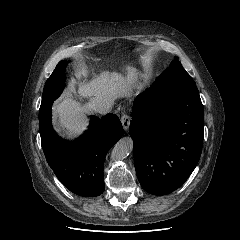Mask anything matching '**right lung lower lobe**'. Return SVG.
<instances>
[{
    "instance_id": "obj_1",
    "label": "right lung lower lobe",
    "mask_w": 240,
    "mask_h": 240,
    "mask_svg": "<svg viewBox=\"0 0 240 240\" xmlns=\"http://www.w3.org/2000/svg\"><path fill=\"white\" fill-rule=\"evenodd\" d=\"M52 110L39 118L42 149L59 181L80 196H98L104 191L103 164L109 149L122 137L116 114L99 119L91 116L89 129L78 139H62L51 124Z\"/></svg>"
}]
</instances>
